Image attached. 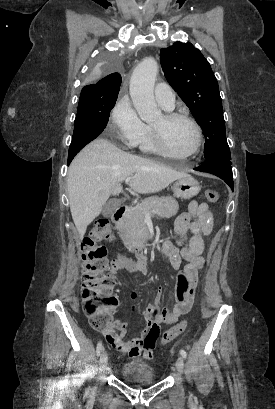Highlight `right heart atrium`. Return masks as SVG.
Returning a JSON list of instances; mask_svg holds the SVG:
<instances>
[{
    "mask_svg": "<svg viewBox=\"0 0 275 409\" xmlns=\"http://www.w3.org/2000/svg\"><path fill=\"white\" fill-rule=\"evenodd\" d=\"M110 123L114 131L113 143H126V152H133L139 144L144 123L128 100L117 102L111 112Z\"/></svg>",
    "mask_w": 275,
    "mask_h": 409,
    "instance_id": "obj_1",
    "label": "right heart atrium"
}]
</instances>
